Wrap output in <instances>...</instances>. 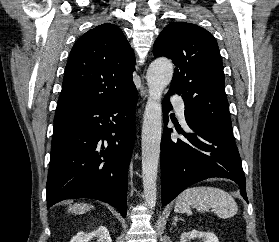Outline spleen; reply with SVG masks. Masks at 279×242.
<instances>
[{"mask_svg": "<svg viewBox=\"0 0 279 242\" xmlns=\"http://www.w3.org/2000/svg\"><path fill=\"white\" fill-rule=\"evenodd\" d=\"M191 206L200 212L213 209L221 218L233 217L238 207L234 198L227 192L215 187H190L177 198L174 211L191 214Z\"/></svg>", "mask_w": 279, "mask_h": 242, "instance_id": "3e777b00", "label": "spleen"}]
</instances>
